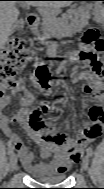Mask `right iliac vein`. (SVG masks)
<instances>
[{
	"mask_svg": "<svg viewBox=\"0 0 104 189\" xmlns=\"http://www.w3.org/2000/svg\"><path fill=\"white\" fill-rule=\"evenodd\" d=\"M18 157L15 153L10 156V168L11 171H15L17 168Z\"/></svg>",
	"mask_w": 104,
	"mask_h": 189,
	"instance_id": "1",
	"label": "right iliac vein"
}]
</instances>
